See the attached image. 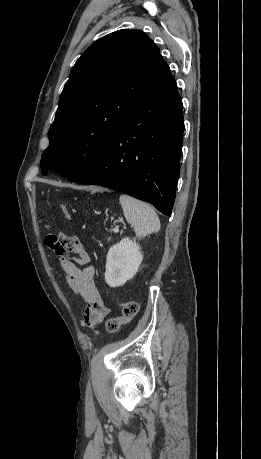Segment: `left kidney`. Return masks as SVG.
<instances>
[{
    "instance_id": "1",
    "label": "left kidney",
    "mask_w": 261,
    "mask_h": 459,
    "mask_svg": "<svg viewBox=\"0 0 261 459\" xmlns=\"http://www.w3.org/2000/svg\"><path fill=\"white\" fill-rule=\"evenodd\" d=\"M143 260L139 244L126 237L113 245L106 260L105 281L110 287H119L132 279Z\"/></svg>"
}]
</instances>
